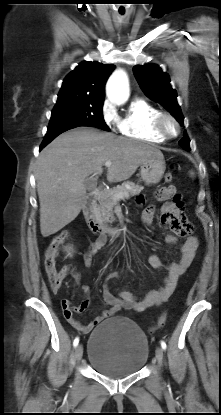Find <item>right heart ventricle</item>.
Instances as JSON below:
<instances>
[{"label":"right heart ventricle","instance_id":"e07e8e85","mask_svg":"<svg viewBox=\"0 0 221 415\" xmlns=\"http://www.w3.org/2000/svg\"><path fill=\"white\" fill-rule=\"evenodd\" d=\"M161 111L145 101L133 100L126 113L119 118L118 130L121 135L148 143H163L166 138L154 128V120Z\"/></svg>","mask_w":221,"mask_h":415}]
</instances>
